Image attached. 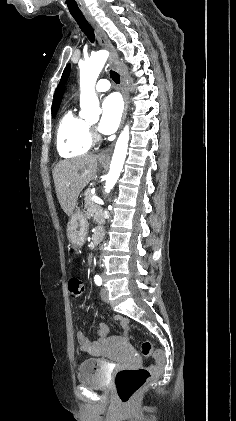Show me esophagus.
Wrapping results in <instances>:
<instances>
[{"label":"esophagus","instance_id":"obj_1","mask_svg":"<svg viewBox=\"0 0 236 421\" xmlns=\"http://www.w3.org/2000/svg\"><path fill=\"white\" fill-rule=\"evenodd\" d=\"M85 18L92 25V27L95 31V34H96V38H97L100 46L102 48L110 50L108 62L111 65L112 68L118 70V72L120 74V77H121L120 90H121L123 100H124V110H123V116H122V121H121V125H120V130H121V128L124 125L127 107H128V102H127V97H126V93H125V89H124L125 80H124V77H123V73L116 66L117 53L114 50L111 42L108 40L106 34L104 33V31L102 30V28L98 24V22L92 16H89V15H86ZM114 145H115V142H113L111 145H109L108 148H106L104 151L99 153L98 159L101 160V161H109L110 156L112 155V152H113Z\"/></svg>","mask_w":236,"mask_h":421}]
</instances>
